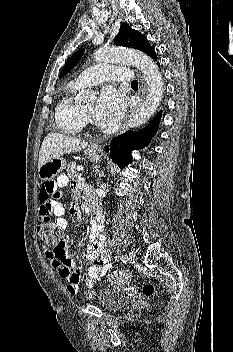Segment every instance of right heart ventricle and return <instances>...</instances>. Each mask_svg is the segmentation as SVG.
<instances>
[{"instance_id":"e07e8e85","label":"right heart ventricle","mask_w":233,"mask_h":352,"mask_svg":"<svg viewBox=\"0 0 233 352\" xmlns=\"http://www.w3.org/2000/svg\"><path fill=\"white\" fill-rule=\"evenodd\" d=\"M80 88L74 82L67 84L55 111L58 128L69 135L79 134L85 125L82 109L74 102V95Z\"/></svg>"}]
</instances>
